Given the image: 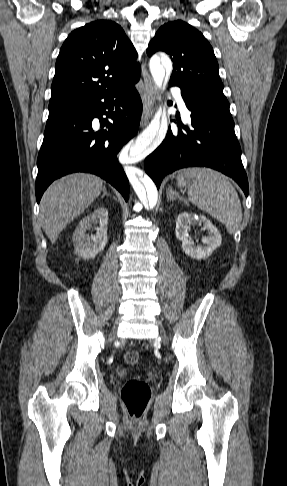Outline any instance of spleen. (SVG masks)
Masks as SVG:
<instances>
[{"label": "spleen", "mask_w": 287, "mask_h": 486, "mask_svg": "<svg viewBox=\"0 0 287 486\" xmlns=\"http://www.w3.org/2000/svg\"><path fill=\"white\" fill-rule=\"evenodd\" d=\"M185 175L193 179L188 187L189 200L234 234L242 221V209L228 177L209 168H191L186 170Z\"/></svg>", "instance_id": "1"}]
</instances>
